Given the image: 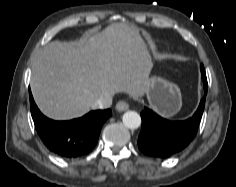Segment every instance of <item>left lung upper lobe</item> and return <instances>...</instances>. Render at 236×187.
<instances>
[{
    "mask_svg": "<svg viewBox=\"0 0 236 187\" xmlns=\"http://www.w3.org/2000/svg\"><path fill=\"white\" fill-rule=\"evenodd\" d=\"M200 67H203V68H204V66H203L202 64H201ZM202 79H203V83H204V84H207L206 73L202 76ZM207 87H208V84H207Z\"/></svg>",
    "mask_w": 236,
    "mask_h": 187,
    "instance_id": "1",
    "label": "left lung upper lobe"
}]
</instances>
